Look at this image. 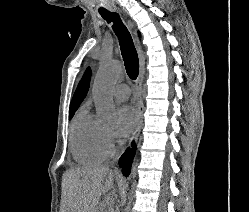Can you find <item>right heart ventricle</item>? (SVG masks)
<instances>
[{"mask_svg": "<svg viewBox=\"0 0 249 212\" xmlns=\"http://www.w3.org/2000/svg\"><path fill=\"white\" fill-rule=\"evenodd\" d=\"M102 127L96 123L86 107H82L72 120L70 151L80 164L101 163L105 155L100 142Z\"/></svg>", "mask_w": 249, "mask_h": 212, "instance_id": "e07e8e85", "label": "right heart ventricle"}]
</instances>
